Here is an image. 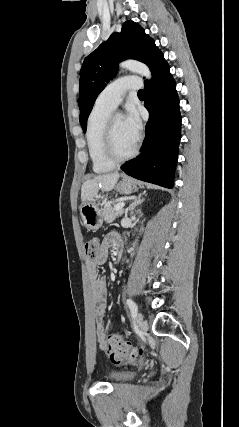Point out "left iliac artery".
<instances>
[{"label": "left iliac artery", "mask_w": 239, "mask_h": 427, "mask_svg": "<svg viewBox=\"0 0 239 427\" xmlns=\"http://www.w3.org/2000/svg\"><path fill=\"white\" fill-rule=\"evenodd\" d=\"M126 303H127L128 307L131 311L132 317H135L137 315V311H138L136 303L131 299H127Z\"/></svg>", "instance_id": "left-iliac-artery-1"}]
</instances>
